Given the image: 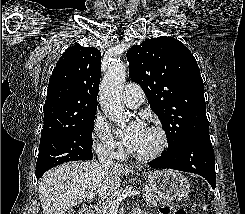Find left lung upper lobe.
<instances>
[{"label":"left lung upper lobe","mask_w":245,"mask_h":214,"mask_svg":"<svg viewBox=\"0 0 245 214\" xmlns=\"http://www.w3.org/2000/svg\"><path fill=\"white\" fill-rule=\"evenodd\" d=\"M129 75L162 122L171 151L197 134H209L204 84L191 51L173 37L132 46Z\"/></svg>","instance_id":"5c2ea615"}]
</instances>
